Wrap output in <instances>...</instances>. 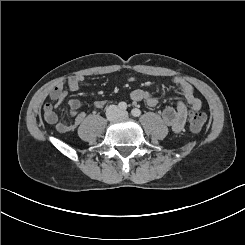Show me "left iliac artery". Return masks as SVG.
Masks as SVG:
<instances>
[{
  "label": "left iliac artery",
  "instance_id": "1",
  "mask_svg": "<svg viewBox=\"0 0 245 245\" xmlns=\"http://www.w3.org/2000/svg\"><path fill=\"white\" fill-rule=\"evenodd\" d=\"M131 114L134 116V117H139L141 115V111L140 109L138 108H134L131 110Z\"/></svg>",
  "mask_w": 245,
  "mask_h": 245
}]
</instances>
